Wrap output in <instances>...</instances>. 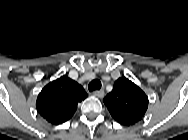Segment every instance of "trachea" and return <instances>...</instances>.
Segmentation results:
<instances>
[{
    "instance_id": "obj_1",
    "label": "trachea",
    "mask_w": 188,
    "mask_h": 140,
    "mask_svg": "<svg viewBox=\"0 0 188 140\" xmlns=\"http://www.w3.org/2000/svg\"><path fill=\"white\" fill-rule=\"evenodd\" d=\"M101 88V82L98 79L91 81L88 85L89 91L99 90Z\"/></svg>"
}]
</instances>
